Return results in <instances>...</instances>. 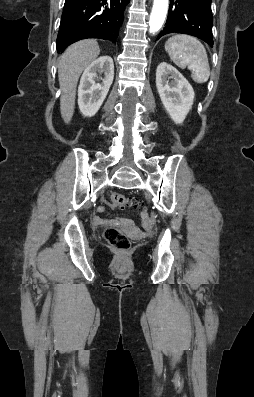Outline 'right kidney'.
<instances>
[{"label":"right kidney","mask_w":254,"mask_h":397,"mask_svg":"<svg viewBox=\"0 0 254 397\" xmlns=\"http://www.w3.org/2000/svg\"><path fill=\"white\" fill-rule=\"evenodd\" d=\"M103 73L104 78L97 76ZM114 78V64L110 56L94 60L84 71L78 87V105L86 117L94 116L107 96ZM101 80V83L96 81Z\"/></svg>","instance_id":"ca27d5eb"}]
</instances>
